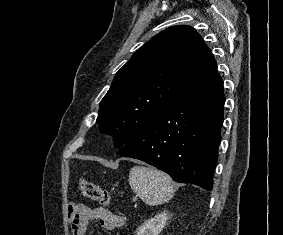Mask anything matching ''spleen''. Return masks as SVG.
Here are the masks:
<instances>
[{"label":"spleen","instance_id":"1","mask_svg":"<svg viewBox=\"0 0 283 235\" xmlns=\"http://www.w3.org/2000/svg\"><path fill=\"white\" fill-rule=\"evenodd\" d=\"M129 185L143 202L150 206L168 202L173 197L176 186L168 174L144 166L131 168Z\"/></svg>","mask_w":283,"mask_h":235}]
</instances>
